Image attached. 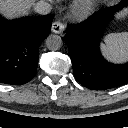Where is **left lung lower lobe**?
I'll return each mask as SVG.
<instances>
[{"label": "left lung lower lobe", "mask_w": 128, "mask_h": 128, "mask_svg": "<svg viewBox=\"0 0 128 128\" xmlns=\"http://www.w3.org/2000/svg\"><path fill=\"white\" fill-rule=\"evenodd\" d=\"M128 6V1L105 8L81 24L67 26L65 39L76 80L89 89L104 90L128 83V63L115 65L100 54L99 39L113 14Z\"/></svg>", "instance_id": "1"}]
</instances>
